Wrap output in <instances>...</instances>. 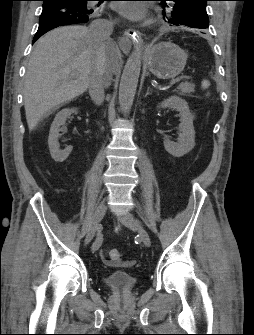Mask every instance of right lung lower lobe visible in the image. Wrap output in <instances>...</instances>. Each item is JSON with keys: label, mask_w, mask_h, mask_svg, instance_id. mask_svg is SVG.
Wrapping results in <instances>:
<instances>
[{"label": "right lung lower lobe", "mask_w": 254, "mask_h": 335, "mask_svg": "<svg viewBox=\"0 0 254 335\" xmlns=\"http://www.w3.org/2000/svg\"><path fill=\"white\" fill-rule=\"evenodd\" d=\"M43 11L39 28L33 42L46 32L62 25L85 23L89 20L94 7L93 0H43ZM103 2L99 0V4Z\"/></svg>", "instance_id": "1"}]
</instances>
